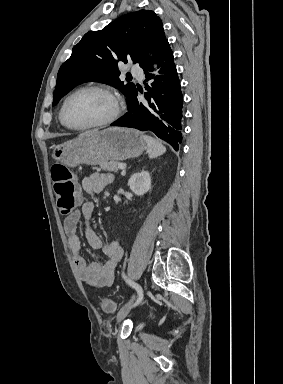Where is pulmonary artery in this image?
<instances>
[{
    "label": "pulmonary artery",
    "instance_id": "e3ab8cb5",
    "mask_svg": "<svg viewBox=\"0 0 283 384\" xmlns=\"http://www.w3.org/2000/svg\"><path fill=\"white\" fill-rule=\"evenodd\" d=\"M130 73H131V75L142 76L143 70H142V68H138L137 64H132Z\"/></svg>",
    "mask_w": 283,
    "mask_h": 384
}]
</instances>
